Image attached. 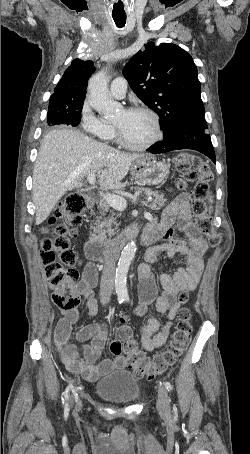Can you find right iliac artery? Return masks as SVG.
I'll list each match as a JSON object with an SVG mask.
<instances>
[{
  "instance_id": "obj_1",
  "label": "right iliac artery",
  "mask_w": 250,
  "mask_h": 454,
  "mask_svg": "<svg viewBox=\"0 0 250 454\" xmlns=\"http://www.w3.org/2000/svg\"><path fill=\"white\" fill-rule=\"evenodd\" d=\"M123 301H124V300H122V299L118 300L119 304H121ZM72 388H73V385H72V383H70V384L68 385V387L66 388V390L64 391L65 401L68 400V398H69V392H70V390H71ZM65 408H66V409L68 408V403H67V402H66V404H65Z\"/></svg>"
}]
</instances>
